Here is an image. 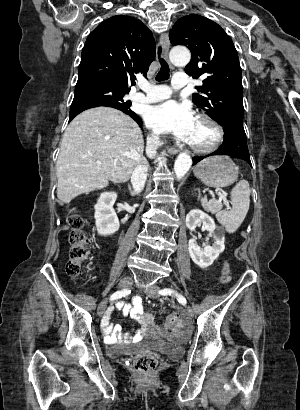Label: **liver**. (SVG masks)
<instances>
[{
	"label": "liver",
	"mask_w": 300,
	"mask_h": 410,
	"mask_svg": "<svg viewBox=\"0 0 300 410\" xmlns=\"http://www.w3.org/2000/svg\"><path fill=\"white\" fill-rule=\"evenodd\" d=\"M144 139L137 123L109 107L88 109L64 132L56 163L57 197L70 203L81 194L127 182L143 157ZM100 161L101 164H97Z\"/></svg>",
	"instance_id": "6515ba94"
}]
</instances>
